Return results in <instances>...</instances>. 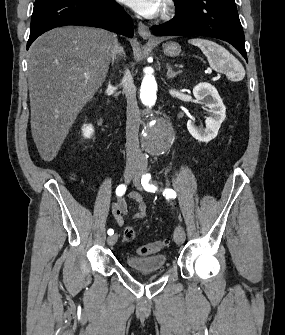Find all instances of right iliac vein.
I'll use <instances>...</instances> for the list:
<instances>
[{"mask_svg": "<svg viewBox=\"0 0 285 335\" xmlns=\"http://www.w3.org/2000/svg\"><path fill=\"white\" fill-rule=\"evenodd\" d=\"M138 174L136 173V171L132 168H126L125 172H124V177L127 181H129L130 179L134 178V177H137ZM117 234H114L112 236H109L107 238V243L109 245H114L117 241Z\"/></svg>", "mask_w": 285, "mask_h": 335, "instance_id": "right-iliac-vein-1", "label": "right iliac vein"}]
</instances>
